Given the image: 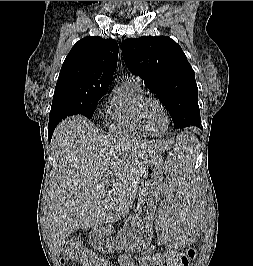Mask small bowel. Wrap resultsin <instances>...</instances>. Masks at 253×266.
Returning a JSON list of instances; mask_svg holds the SVG:
<instances>
[{"label":"small bowel","instance_id":"1","mask_svg":"<svg viewBox=\"0 0 253 266\" xmlns=\"http://www.w3.org/2000/svg\"><path fill=\"white\" fill-rule=\"evenodd\" d=\"M149 259V256L143 257L140 260V266H144V262L147 261ZM105 262V266H110L106 261ZM119 265L120 266H135V263L132 259L131 256L127 255V254H123L119 257L118 259Z\"/></svg>","mask_w":253,"mask_h":266}]
</instances>
